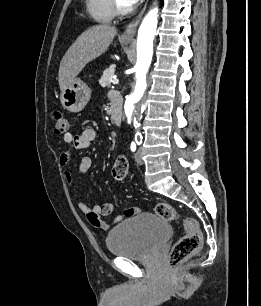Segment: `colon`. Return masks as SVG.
I'll return each mask as SVG.
<instances>
[{"label": "colon", "instance_id": "1", "mask_svg": "<svg viewBox=\"0 0 261 306\" xmlns=\"http://www.w3.org/2000/svg\"><path fill=\"white\" fill-rule=\"evenodd\" d=\"M51 120L56 134H64L67 131L68 122L62 112L52 111ZM127 174V159L125 157L117 158L111 169L113 180L121 181ZM156 213L167 222L180 221L182 223L185 234L176 241L168 256L169 266L174 267L200 249L202 233L196 219L192 217L182 218L175 207L169 203H159L156 206Z\"/></svg>", "mask_w": 261, "mask_h": 306}]
</instances>
